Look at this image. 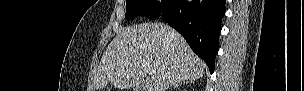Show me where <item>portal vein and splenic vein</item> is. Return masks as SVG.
Listing matches in <instances>:
<instances>
[{
    "label": "portal vein and splenic vein",
    "mask_w": 304,
    "mask_h": 91,
    "mask_svg": "<svg viewBox=\"0 0 304 91\" xmlns=\"http://www.w3.org/2000/svg\"><path fill=\"white\" fill-rule=\"evenodd\" d=\"M144 72L151 75L152 74V70L148 65H144Z\"/></svg>",
    "instance_id": "obj_1"
}]
</instances>
